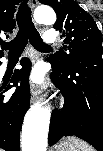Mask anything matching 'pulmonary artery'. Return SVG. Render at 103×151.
Returning a JSON list of instances; mask_svg holds the SVG:
<instances>
[{"label": "pulmonary artery", "instance_id": "pulmonary-artery-1", "mask_svg": "<svg viewBox=\"0 0 103 151\" xmlns=\"http://www.w3.org/2000/svg\"><path fill=\"white\" fill-rule=\"evenodd\" d=\"M44 40L46 43L51 44L56 41V33L53 30L47 31L44 34Z\"/></svg>", "mask_w": 103, "mask_h": 151}]
</instances>
